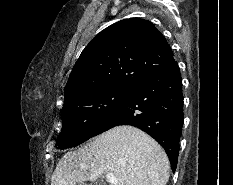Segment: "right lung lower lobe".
I'll return each mask as SVG.
<instances>
[{"mask_svg":"<svg viewBox=\"0 0 233 185\" xmlns=\"http://www.w3.org/2000/svg\"><path fill=\"white\" fill-rule=\"evenodd\" d=\"M183 120L182 79L174 61L135 84L92 137L117 125L138 127L165 149L175 172Z\"/></svg>","mask_w":233,"mask_h":185,"instance_id":"98d812e1","label":"right lung lower lobe"}]
</instances>
